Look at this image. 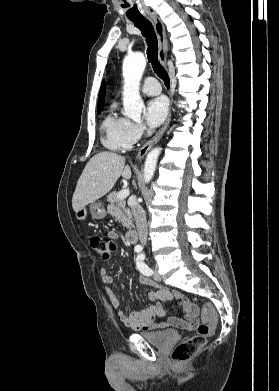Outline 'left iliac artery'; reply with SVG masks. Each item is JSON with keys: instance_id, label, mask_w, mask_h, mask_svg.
Returning <instances> with one entry per match:
<instances>
[{"instance_id": "44dca946", "label": "left iliac artery", "mask_w": 279, "mask_h": 391, "mask_svg": "<svg viewBox=\"0 0 279 391\" xmlns=\"http://www.w3.org/2000/svg\"><path fill=\"white\" fill-rule=\"evenodd\" d=\"M144 259H145L144 254H139L137 256L136 258L137 268L142 274L146 276H151L153 271L145 264Z\"/></svg>"}]
</instances>
